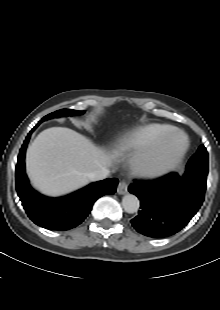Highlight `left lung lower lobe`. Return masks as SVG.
Listing matches in <instances>:
<instances>
[{"label":"left lung lower lobe","mask_w":220,"mask_h":310,"mask_svg":"<svg viewBox=\"0 0 220 310\" xmlns=\"http://www.w3.org/2000/svg\"><path fill=\"white\" fill-rule=\"evenodd\" d=\"M207 174L169 173L154 181H134L129 192L140 199L138 215L131 220L141 234L153 238L171 236L184 228L201 207Z\"/></svg>","instance_id":"left-lung-lower-lobe-1"}]
</instances>
